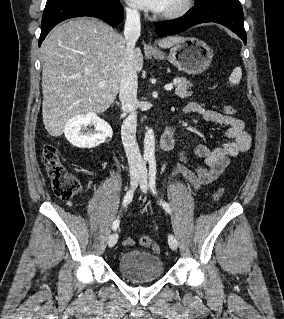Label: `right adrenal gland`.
<instances>
[{
	"instance_id": "right-adrenal-gland-1",
	"label": "right adrenal gland",
	"mask_w": 284,
	"mask_h": 319,
	"mask_svg": "<svg viewBox=\"0 0 284 319\" xmlns=\"http://www.w3.org/2000/svg\"><path fill=\"white\" fill-rule=\"evenodd\" d=\"M118 106L120 105V103L119 102H115Z\"/></svg>"
}]
</instances>
